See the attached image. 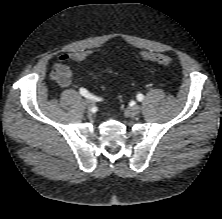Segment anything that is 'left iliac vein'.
<instances>
[{
	"instance_id": "4c4485c4",
	"label": "left iliac vein",
	"mask_w": 222,
	"mask_h": 219,
	"mask_svg": "<svg viewBox=\"0 0 222 219\" xmlns=\"http://www.w3.org/2000/svg\"><path fill=\"white\" fill-rule=\"evenodd\" d=\"M140 110L141 109L138 105H134V106L131 107L130 112L133 115H137V114H139Z\"/></svg>"
}]
</instances>
